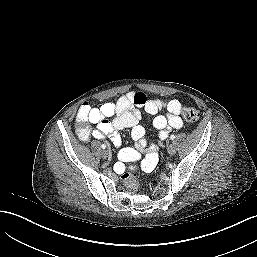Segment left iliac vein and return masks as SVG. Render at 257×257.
<instances>
[{"mask_svg": "<svg viewBox=\"0 0 257 257\" xmlns=\"http://www.w3.org/2000/svg\"><path fill=\"white\" fill-rule=\"evenodd\" d=\"M167 152L169 155H174L175 152H176V148L173 144H170L168 147H167Z\"/></svg>", "mask_w": 257, "mask_h": 257, "instance_id": "left-iliac-vein-1", "label": "left iliac vein"}]
</instances>
